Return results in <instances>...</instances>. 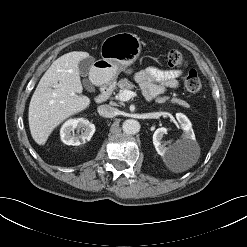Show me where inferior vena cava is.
Listing matches in <instances>:
<instances>
[{
  "instance_id": "1",
  "label": "inferior vena cava",
  "mask_w": 247,
  "mask_h": 247,
  "mask_svg": "<svg viewBox=\"0 0 247 247\" xmlns=\"http://www.w3.org/2000/svg\"><path fill=\"white\" fill-rule=\"evenodd\" d=\"M98 113L103 116V117H107V118H111L117 115V109L110 106V105H100L98 108Z\"/></svg>"
}]
</instances>
